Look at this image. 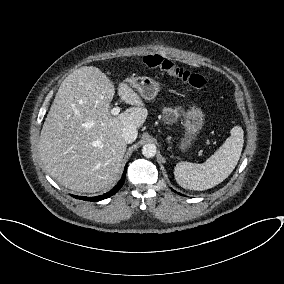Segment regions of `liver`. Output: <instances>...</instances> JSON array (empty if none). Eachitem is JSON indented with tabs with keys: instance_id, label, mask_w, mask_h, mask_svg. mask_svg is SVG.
<instances>
[{
	"instance_id": "liver-1",
	"label": "liver",
	"mask_w": 284,
	"mask_h": 284,
	"mask_svg": "<svg viewBox=\"0 0 284 284\" xmlns=\"http://www.w3.org/2000/svg\"><path fill=\"white\" fill-rule=\"evenodd\" d=\"M117 93L129 109L113 117L112 81L99 68L83 66L59 87L39 140L41 159L49 175L77 192L110 190L122 172L127 125L140 128L148 115L143 101L126 82Z\"/></svg>"
}]
</instances>
